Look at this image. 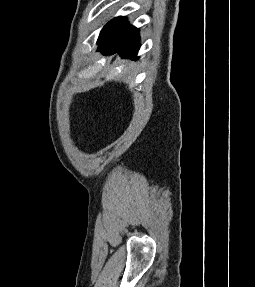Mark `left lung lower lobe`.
Segmentation results:
<instances>
[{
    "instance_id": "1",
    "label": "left lung lower lobe",
    "mask_w": 255,
    "mask_h": 287,
    "mask_svg": "<svg viewBox=\"0 0 255 287\" xmlns=\"http://www.w3.org/2000/svg\"><path fill=\"white\" fill-rule=\"evenodd\" d=\"M139 38L138 29L129 25L125 17H116L101 30L98 49L110 54L117 52L123 57L137 59Z\"/></svg>"
}]
</instances>
